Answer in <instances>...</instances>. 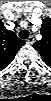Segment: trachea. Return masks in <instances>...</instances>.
Returning a JSON list of instances; mask_svg holds the SVG:
<instances>
[{
	"mask_svg": "<svg viewBox=\"0 0 51 101\" xmlns=\"http://www.w3.org/2000/svg\"><path fill=\"white\" fill-rule=\"evenodd\" d=\"M29 36V31L24 29V30H21L20 33H19V37L21 39H27Z\"/></svg>",
	"mask_w": 51,
	"mask_h": 101,
	"instance_id": "obj_1",
	"label": "trachea"
}]
</instances>
